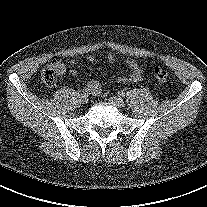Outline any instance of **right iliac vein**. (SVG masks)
Segmentation results:
<instances>
[{"label":"right iliac vein","mask_w":207,"mask_h":207,"mask_svg":"<svg viewBox=\"0 0 207 207\" xmlns=\"http://www.w3.org/2000/svg\"><path fill=\"white\" fill-rule=\"evenodd\" d=\"M80 100L83 104H86L88 102V96L82 94L81 97H80Z\"/></svg>","instance_id":"obj_1"}]
</instances>
